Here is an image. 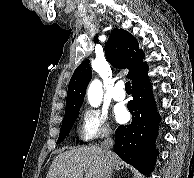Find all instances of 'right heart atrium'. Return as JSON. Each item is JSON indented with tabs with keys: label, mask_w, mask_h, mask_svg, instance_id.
Wrapping results in <instances>:
<instances>
[{
	"label": "right heart atrium",
	"mask_w": 194,
	"mask_h": 178,
	"mask_svg": "<svg viewBox=\"0 0 194 178\" xmlns=\"http://www.w3.org/2000/svg\"><path fill=\"white\" fill-rule=\"evenodd\" d=\"M111 135V128L104 113L85 108L78 119L77 137L82 143H91L97 139Z\"/></svg>",
	"instance_id": "obj_1"
}]
</instances>
